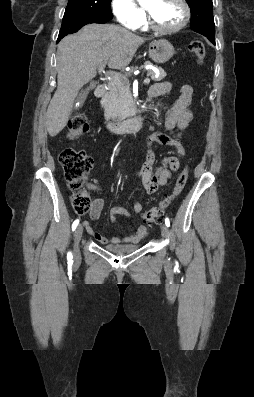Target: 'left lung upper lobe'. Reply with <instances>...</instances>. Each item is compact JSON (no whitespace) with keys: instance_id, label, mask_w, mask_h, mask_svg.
<instances>
[{"instance_id":"5c2ea615","label":"left lung upper lobe","mask_w":254,"mask_h":397,"mask_svg":"<svg viewBox=\"0 0 254 397\" xmlns=\"http://www.w3.org/2000/svg\"><path fill=\"white\" fill-rule=\"evenodd\" d=\"M191 9L192 28L215 30L212 0H186Z\"/></svg>"}]
</instances>
